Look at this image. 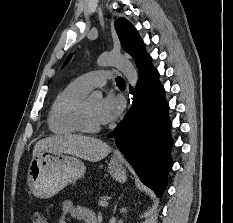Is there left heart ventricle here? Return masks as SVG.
Here are the masks:
<instances>
[{
  "label": "left heart ventricle",
  "mask_w": 233,
  "mask_h": 223,
  "mask_svg": "<svg viewBox=\"0 0 233 223\" xmlns=\"http://www.w3.org/2000/svg\"><path fill=\"white\" fill-rule=\"evenodd\" d=\"M100 99L89 98L87 104V112L89 122L93 125L99 124L97 119V108L99 105Z\"/></svg>",
  "instance_id": "b2bd125f"
}]
</instances>
